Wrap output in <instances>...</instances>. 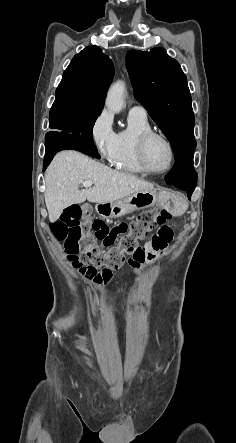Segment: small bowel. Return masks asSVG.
<instances>
[{
	"label": "small bowel",
	"mask_w": 236,
	"mask_h": 443,
	"mask_svg": "<svg viewBox=\"0 0 236 443\" xmlns=\"http://www.w3.org/2000/svg\"><path fill=\"white\" fill-rule=\"evenodd\" d=\"M167 241L164 239L160 233L155 234L149 241L146 242V245L141 248H145L147 250V255L143 260V264L145 262L153 261L156 257V254L159 251H162L167 246ZM131 263V259L129 260ZM129 263V264H130ZM75 268V267H74ZM79 274H81L88 282L92 283L94 286L98 288L101 294H106V290L104 286L108 283H102L97 279V275L101 272H97V270L91 267L85 268H75ZM137 279V278H135Z\"/></svg>",
	"instance_id": "small-bowel-1"
}]
</instances>
